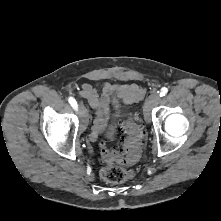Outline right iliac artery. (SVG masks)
Returning a JSON list of instances; mask_svg holds the SVG:
<instances>
[{"label":"right iliac artery","instance_id":"82829eb1","mask_svg":"<svg viewBox=\"0 0 221 221\" xmlns=\"http://www.w3.org/2000/svg\"><path fill=\"white\" fill-rule=\"evenodd\" d=\"M68 102L70 103V105H71L75 110H77L78 105H77L76 100H75L73 97H69V98H68Z\"/></svg>","mask_w":221,"mask_h":221}]
</instances>
